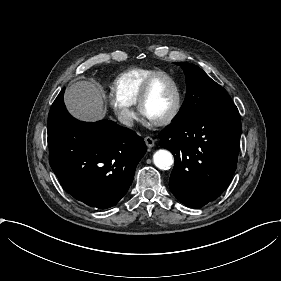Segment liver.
I'll return each instance as SVG.
<instances>
[{"instance_id":"1","label":"liver","mask_w":281,"mask_h":281,"mask_svg":"<svg viewBox=\"0 0 281 281\" xmlns=\"http://www.w3.org/2000/svg\"><path fill=\"white\" fill-rule=\"evenodd\" d=\"M63 100L68 113L78 121L95 123L106 117L102 92L89 80L72 83L65 89Z\"/></svg>"}]
</instances>
